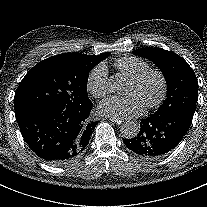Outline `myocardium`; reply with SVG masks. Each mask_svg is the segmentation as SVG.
I'll return each mask as SVG.
<instances>
[{"label":"myocardium","mask_w":207,"mask_h":207,"mask_svg":"<svg viewBox=\"0 0 207 207\" xmlns=\"http://www.w3.org/2000/svg\"><path fill=\"white\" fill-rule=\"evenodd\" d=\"M151 76L158 78L160 82V92L154 101L146 105L145 111H150L158 108L166 99L167 92H168L167 77L161 70L149 68L144 72H142L141 74H139L138 76L131 79L130 81V83L133 84L135 87H140Z\"/></svg>","instance_id":"1"}]
</instances>
